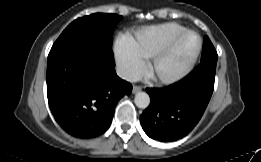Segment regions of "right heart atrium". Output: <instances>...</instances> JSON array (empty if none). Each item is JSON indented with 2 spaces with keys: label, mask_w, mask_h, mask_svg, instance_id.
<instances>
[{
  "label": "right heart atrium",
  "mask_w": 261,
  "mask_h": 162,
  "mask_svg": "<svg viewBox=\"0 0 261 162\" xmlns=\"http://www.w3.org/2000/svg\"><path fill=\"white\" fill-rule=\"evenodd\" d=\"M115 57L120 73L125 79H134L142 73L144 60L131 48L129 37L118 39Z\"/></svg>",
  "instance_id": "d8ad5b80"
}]
</instances>
